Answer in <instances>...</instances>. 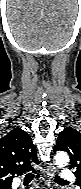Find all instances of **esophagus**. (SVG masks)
I'll return each instance as SVG.
<instances>
[{
  "mask_svg": "<svg viewBox=\"0 0 81 189\" xmlns=\"http://www.w3.org/2000/svg\"><path fill=\"white\" fill-rule=\"evenodd\" d=\"M55 169H56L55 166L52 165V164L47 167V170H46V177H47L46 185H47V188H45V189H49L48 187H50L51 181H52L54 174L56 172Z\"/></svg>",
  "mask_w": 81,
  "mask_h": 189,
  "instance_id": "esophagus-1",
  "label": "esophagus"
}]
</instances>
